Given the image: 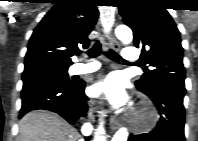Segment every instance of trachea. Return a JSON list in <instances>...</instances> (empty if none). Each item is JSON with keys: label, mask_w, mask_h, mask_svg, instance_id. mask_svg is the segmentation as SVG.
Masks as SVG:
<instances>
[{"label": "trachea", "mask_w": 198, "mask_h": 141, "mask_svg": "<svg viewBox=\"0 0 198 141\" xmlns=\"http://www.w3.org/2000/svg\"><path fill=\"white\" fill-rule=\"evenodd\" d=\"M102 52L101 43L100 41H97L94 46L87 51V54L90 58H95L99 56ZM77 55L81 54V51L76 52ZM105 55L110 58L113 61L119 62V63H127L126 60H124L120 55H118L115 51L109 50L108 52H105Z\"/></svg>", "instance_id": "1"}]
</instances>
